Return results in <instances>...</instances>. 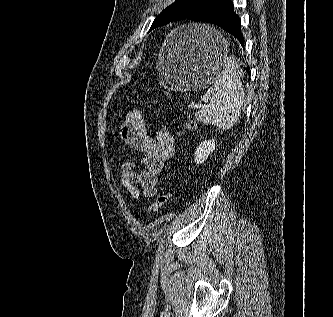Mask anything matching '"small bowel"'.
I'll return each mask as SVG.
<instances>
[{"instance_id": "obj_1", "label": "small bowel", "mask_w": 333, "mask_h": 317, "mask_svg": "<svg viewBox=\"0 0 333 317\" xmlns=\"http://www.w3.org/2000/svg\"><path fill=\"white\" fill-rule=\"evenodd\" d=\"M151 128L154 130V137L149 135ZM119 133L127 145L142 154L140 170L134 160L120 162L118 175L121 185L135 200L141 196H155L158 176L175 151L174 136L165 125L151 127L144 114L137 109L126 114L120 124Z\"/></svg>"}]
</instances>
